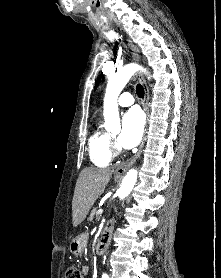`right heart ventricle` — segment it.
<instances>
[{"instance_id":"obj_1","label":"right heart ventricle","mask_w":221,"mask_h":278,"mask_svg":"<svg viewBox=\"0 0 221 278\" xmlns=\"http://www.w3.org/2000/svg\"><path fill=\"white\" fill-rule=\"evenodd\" d=\"M88 151L91 162L98 167H106L112 160L110 136L100 127L91 134L88 141Z\"/></svg>"}]
</instances>
